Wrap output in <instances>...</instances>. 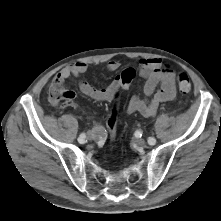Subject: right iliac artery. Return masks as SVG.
Returning <instances> with one entry per match:
<instances>
[{
  "mask_svg": "<svg viewBox=\"0 0 221 221\" xmlns=\"http://www.w3.org/2000/svg\"><path fill=\"white\" fill-rule=\"evenodd\" d=\"M85 139H86V135H85L84 133H82V134L79 136V138H78V142L81 143V144H83V143L86 142Z\"/></svg>",
  "mask_w": 221,
  "mask_h": 221,
  "instance_id": "82829eb1",
  "label": "right iliac artery"
}]
</instances>
